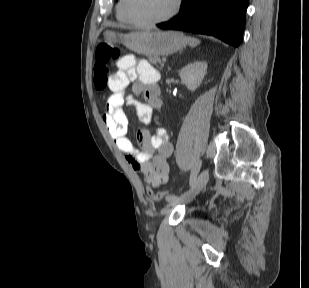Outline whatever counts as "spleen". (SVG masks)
Here are the masks:
<instances>
[{
    "mask_svg": "<svg viewBox=\"0 0 309 288\" xmlns=\"http://www.w3.org/2000/svg\"><path fill=\"white\" fill-rule=\"evenodd\" d=\"M187 40H188V43L191 47H196L197 45L200 44V40H198L194 37H188Z\"/></svg>",
    "mask_w": 309,
    "mask_h": 288,
    "instance_id": "spleen-1",
    "label": "spleen"
}]
</instances>
